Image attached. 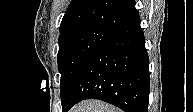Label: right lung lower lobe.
Listing matches in <instances>:
<instances>
[{"label": "right lung lower lobe", "mask_w": 193, "mask_h": 112, "mask_svg": "<svg viewBox=\"0 0 193 112\" xmlns=\"http://www.w3.org/2000/svg\"><path fill=\"white\" fill-rule=\"evenodd\" d=\"M149 60L140 17L118 29L78 72L62 112L84 99H99L125 112H148Z\"/></svg>", "instance_id": "1"}]
</instances>
